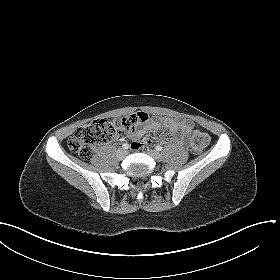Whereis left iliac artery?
Instances as JSON below:
<instances>
[{"label": "left iliac artery", "mask_w": 280, "mask_h": 280, "mask_svg": "<svg viewBox=\"0 0 280 280\" xmlns=\"http://www.w3.org/2000/svg\"><path fill=\"white\" fill-rule=\"evenodd\" d=\"M156 150H157V151H161V150H162V147H161L160 145H157V146H156Z\"/></svg>", "instance_id": "44dca946"}]
</instances>
